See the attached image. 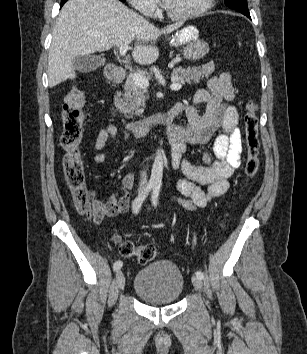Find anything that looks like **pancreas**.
<instances>
[{"label":"pancreas","mask_w":307,"mask_h":354,"mask_svg":"<svg viewBox=\"0 0 307 354\" xmlns=\"http://www.w3.org/2000/svg\"><path fill=\"white\" fill-rule=\"evenodd\" d=\"M213 71L214 67L209 64L201 67H178L173 69L171 79L181 84L199 83L204 77H209ZM146 94L147 90L138 87L132 76L128 75L125 80L124 93L121 94L122 98L117 107L124 114L140 116L144 111Z\"/></svg>","instance_id":"cf45deb5"}]
</instances>
